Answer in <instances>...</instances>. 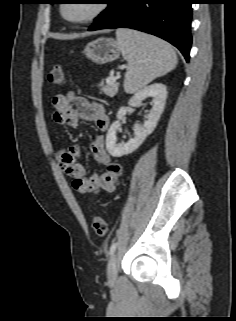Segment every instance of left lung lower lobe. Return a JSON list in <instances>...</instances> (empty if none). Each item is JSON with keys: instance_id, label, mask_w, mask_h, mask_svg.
<instances>
[{"instance_id": "0a47b994", "label": "left lung lower lobe", "mask_w": 236, "mask_h": 321, "mask_svg": "<svg viewBox=\"0 0 236 321\" xmlns=\"http://www.w3.org/2000/svg\"><path fill=\"white\" fill-rule=\"evenodd\" d=\"M193 3L195 0H114L89 31L123 27L146 32L176 46L188 62Z\"/></svg>"}]
</instances>
